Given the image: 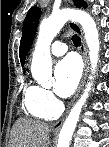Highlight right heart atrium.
<instances>
[{"label": "right heart atrium", "instance_id": "obj_1", "mask_svg": "<svg viewBox=\"0 0 109 147\" xmlns=\"http://www.w3.org/2000/svg\"><path fill=\"white\" fill-rule=\"evenodd\" d=\"M36 98L46 109L55 111L58 108V100L49 89L38 87Z\"/></svg>", "mask_w": 109, "mask_h": 147}]
</instances>
